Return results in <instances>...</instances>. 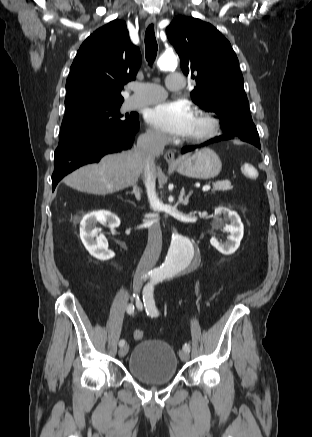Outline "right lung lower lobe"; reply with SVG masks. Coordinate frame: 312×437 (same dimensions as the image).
<instances>
[{
    "label": "right lung lower lobe",
    "mask_w": 312,
    "mask_h": 437,
    "mask_svg": "<svg viewBox=\"0 0 312 437\" xmlns=\"http://www.w3.org/2000/svg\"><path fill=\"white\" fill-rule=\"evenodd\" d=\"M138 129L137 118L129 125L103 130L74 139L66 144H59L55 150L52 190L54 191L65 175L78 167L98 162L107 153L131 148Z\"/></svg>",
    "instance_id": "1"
}]
</instances>
